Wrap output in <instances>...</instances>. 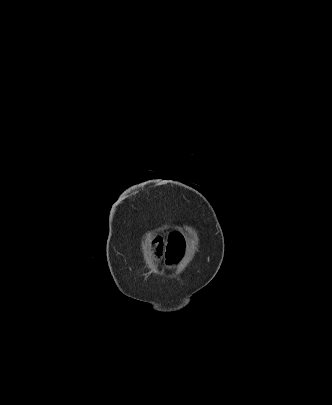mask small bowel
Masks as SVG:
<instances>
[{
  "instance_id": "1",
  "label": "small bowel",
  "mask_w": 332,
  "mask_h": 405,
  "mask_svg": "<svg viewBox=\"0 0 332 405\" xmlns=\"http://www.w3.org/2000/svg\"><path fill=\"white\" fill-rule=\"evenodd\" d=\"M153 245L157 250V256L163 257L168 266L180 263L184 257L185 249L178 236L172 237L169 242L157 238L153 241Z\"/></svg>"
}]
</instances>
